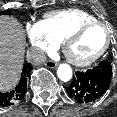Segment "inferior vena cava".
<instances>
[{
  "mask_svg": "<svg viewBox=\"0 0 117 117\" xmlns=\"http://www.w3.org/2000/svg\"><path fill=\"white\" fill-rule=\"evenodd\" d=\"M26 57H27L28 62H30L34 65L42 64L47 59L46 54L38 48H33V49L29 50L27 52Z\"/></svg>",
  "mask_w": 117,
  "mask_h": 117,
  "instance_id": "602c4592",
  "label": "inferior vena cava"
}]
</instances>
